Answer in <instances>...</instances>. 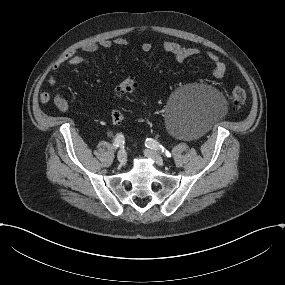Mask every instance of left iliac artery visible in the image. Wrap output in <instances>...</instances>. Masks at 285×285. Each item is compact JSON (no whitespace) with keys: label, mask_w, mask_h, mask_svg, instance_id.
<instances>
[{"label":"left iliac artery","mask_w":285,"mask_h":285,"mask_svg":"<svg viewBox=\"0 0 285 285\" xmlns=\"http://www.w3.org/2000/svg\"><path fill=\"white\" fill-rule=\"evenodd\" d=\"M145 146L147 148H151V149L162 152L168 158L172 157L171 153L168 150H166L158 141H156L152 138L146 139Z\"/></svg>","instance_id":"44dca946"}]
</instances>
